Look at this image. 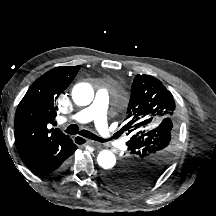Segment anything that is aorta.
<instances>
[{
	"label": "aorta",
	"mask_w": 216,
	"mask_h": 216,
	"mask_svg": "<svg viewBox=\"0 0 216 216\" xmlns=\"http://www.w3.org/2000/svg\"><path fill=\"white\" fill-rule=\"evenodd\" d=\"M72 98L79 106L89 105L94 98V90L87 83L77 84L72 90ZM98 165L105 169H112L116 164V157L110 150H102L97 156Z\"/></svg>",
	"instance_id": "obj_1"
}]
</instances>
